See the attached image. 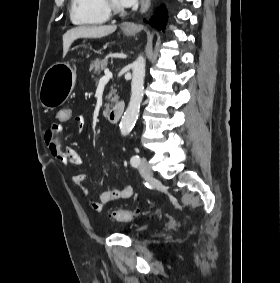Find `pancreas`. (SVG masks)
I'll list each match as a JSON object with an SVG mask.
<instances>
[{"instance_id": "1", "label": "pancreas", "mask_w": 280, "mask_h": 283, "mask_svg": "<svg viewBox=\"0 0 280 283\" xmlns=\"http://www.w3.org/2000/svg\"><path fill=\"white\" fill-rule=\"evenodd\" d=\"M108 65V62L105 59H96L95 61H92V63L90 64V71H93L94 74L99 75L101 73V71H103L105 69V67ZM95 82L96 85L99 82L98 78H95ZM118 94H117V90L114 89L111 86V91L108 94V96H106V100L110 101L111 103L117 102L118 101ZM110 107L109 103L105 104V111H107Z\"/></svg>"}]
</instances>
